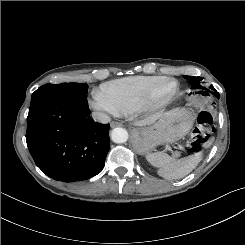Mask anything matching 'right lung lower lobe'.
Wrapping results in <instances>:
<instances>
[{"mask_svg":"<svg viewBox=\"0 0 245 245\" xmlns=\"http://www.w3.org/2000/svg\"><path fill=\"white\" fill-rule=\"evenodd\" d=\"M89 115L86 98L52 95L31 102L26 141L44 174L74 182L101 172L110 148L109 124Z\"/></svg>","mask_w":245,"mask_h":245,"instance_id":"1","label":"right lung lower lobe"}]
</instances>
